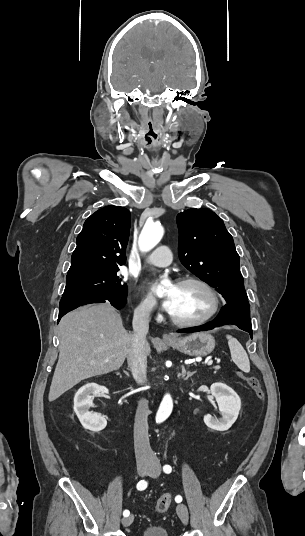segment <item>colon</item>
Here are the masks:
<instances>
[{"instance_id":"obj_1","label":"colon","mask_w":305,"mask_h":536,"mask_svg":"<svg viewBox=\"0 0 305 536\" xmlns=\"http://www.w3.org/2000/svg\"><path fill=\"white\" fill-rule=\"evenodd\" d=\"M243 379L247 382L248 386L253 391L255 396L259 400H263L264 390L259 380L251 376H244ZM172 502H173L172 495L170 493H164L156 502V505H155L156 512L159 514L166 513L170 509Z\"/></svg>"}]
</instances>
